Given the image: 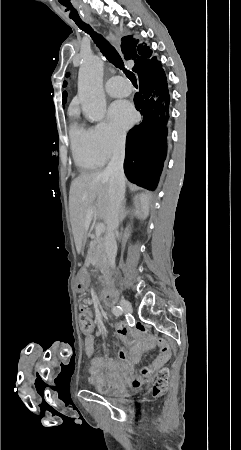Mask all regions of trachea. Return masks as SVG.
Wrapping results in <instances>:
<instances>
[{
	"label": "trachea",
	"mask_w": 241,
	"mask_h": 450,
	"mask_svg": "<svg viewBox=\"0 0 241 450\" xmlns=\"http://www.w3.org/2000/svg\"><path fill=\"white\" fill-rule=\"evenodd\" d=\"M76 25L80 28V30H83L84 32L88 33L94 43L97 45V47L100 49L102 54L109 60V62L113 63L115 67L120 68V70H123L126 77L129 78V80L133 84H137L136 77L134 73L130 72V70H126L124 67V63L122 58L120 57L119 53L116 51L114 47L99 33H96L92 30V28L87 25L84 22H75Z\"/></svg>",
	"instance_id": "obj_1"
}]
</instances>
